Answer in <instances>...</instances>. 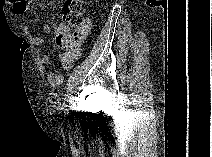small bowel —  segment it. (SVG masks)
I'll use <instances>...</instances> for the list:
<instances>
[{
	"instance_id": "1",
	"label": "small bowel",
	"mask_w": 212,
	"mask_h": 157,
	"mask_svg": "<svg viewBox=\"0 0 212 157\" xmlns=\"http://www.w3.org/2000/svg\"><path fill=\"white\" fill-rule=\"evenodd\" d=\"M11 4H12L13 11L16 15H24L27 12L30 5L28 0H11ZM43 28L46 32H50V29H51L50 25L44 24ZM89 29H90V21L86 19L84 21L83 27L81 28V35L79 39L70 45L62 46L64 50L59 55V62H60V66L64 70L66 71L70 70L73 67L75 60L78 59V57L80 56L82 43L84 39L86 38ZM67 30H68L67 25L65 23H60V25L58 26L56 30V43L58 45H59L57 41L58 35L66 32ZM44 42L45 40L43 37H36L34 39V44L37 47L43 45ZM50 62H51V57L49 54H42L40 56V64L42 66H47L50 64ZM62 79H63L62 75L57 74L54 71H50L47 76V81L49 85L53 87H58L61 84Z\"/></svg>"
}]
</instances>
